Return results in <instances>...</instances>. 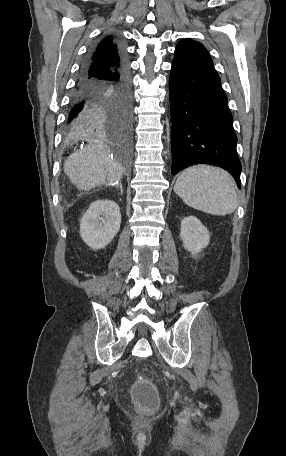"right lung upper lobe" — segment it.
<instances>
[{
    "mask_svg": "<svg viewBox=\"0 0 286 456\" xmlns=\"http://www.w3.org/2000/svg\"><path fill=\"white\" fill-rule=\"evenodd\" d=\"M126 67L120 46L114 37L107 36L90 54V68L93 75L103 76L110 70H121Z\"/></svg>",
    "mask_w": 286,
    "mask_h": 456,
    "instance_id": "cb5924a9",
    "label": "right lung upper lobe"
}]
</instances>
